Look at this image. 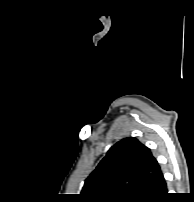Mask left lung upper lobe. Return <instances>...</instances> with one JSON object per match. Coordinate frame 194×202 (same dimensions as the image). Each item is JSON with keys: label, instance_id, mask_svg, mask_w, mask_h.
<instances>
[{"label": "left lung upper lobe", "instance_id": "obj_1", "mask_svg": "<svg viewBox=\"0 0 194 202\" xmlns=\"http://www.w3.org/2000/svg\"><path fill=\"white\" fill-rule=\"evenodd\" d=\"M163 173L150 149L136 138L116 143L86 179L85 202H152Z\"/></svg>", "mask_w": 194, "mask_h": 202}]
</instances>
